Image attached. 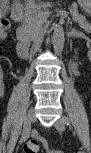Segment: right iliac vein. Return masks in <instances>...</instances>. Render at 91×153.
Listing matches in <instances>:
<instances>
[{"label": "right iliac vein", "instance_id": "right-iliac-vein-1", "mask_svg": "<svg viewBox=\"0 0 91 153\" xmlns=\"http://www.w3.org/2000/svg\"><path fill=\"white\" fill-rule=\"evenodd\" d=\"M35 121V114H34V109L31 108L28 110L25 119H24V130L30 131L31 125Z\"/></svg>", "mask_w": 91, "mask_h": 153}]
</instances>
